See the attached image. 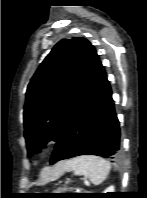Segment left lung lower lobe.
<instances>
[{
	"instance_id": "0a47b994",
	"label": "left lung lower lobe",
	"mask_w": 147,
	"mask_h": 198,
	"mask_svg": "<svg viewBox=\"0 0 147 198\" xmlns=\"http://www.w3.org/2000/svg\"><path fill=\"white\" fill-rule=\"evenodd\" d=\"M120 147V127L111 87L98 61L93 83L55 145L50 164L87 154L114 158Z\"/></svg>"
}]
</instances>
